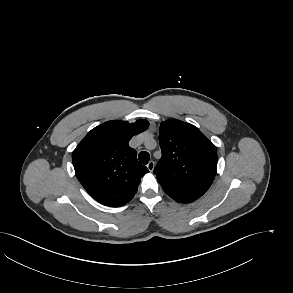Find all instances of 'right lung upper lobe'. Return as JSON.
<instances>
[{
  "mask_svg": "<svg viewBox=\"0 0 293 293\" xmlns=\"http://www.w3.org/2000/svg\"><path fill=\"white\" fill-rule=\"evenodd\" d=\"M148 126L146 120L108 121L92 129L73 151L76 177L99 203L120 207L137 193L140 179L149 171L128 143Z\"/></svg>",
  "mask_w": 293,
  "mask_h": 293,
  "instance_id": "cb5924a9",
  "label": "right lung upper lobe"
}]
</instances>
